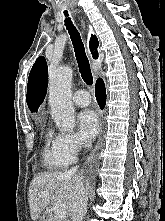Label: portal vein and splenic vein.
Instances as JSON below:
<instances>
[{"label": "portal vein and splenic vein", "instance_id": "portal-vein-and-splenic-vein-1", "mask_svg": "<svg viewBox=\"0 0 165 221\" xmlns=\"http://www.w3.org/2000/svg\"><path fill=\"white\" fill-rule=\"evenodd\" d=\"M48 195L49 194L47 192H42V193L39 194V197L43 198V197H46ZM56 214L61 219L66 218V215H67L66 208L64 206H58L57 209H56Z\"/></svg>", "mask_w": 165, "mask_h": 221}]
</instances>
